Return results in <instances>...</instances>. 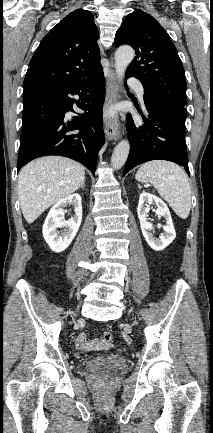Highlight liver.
Listing matches in <instances>:
<instances>
[{
  "mask_svg": "<svg viewBox=\"0 0 213 433\" xmlns=\"http://www.w3.org/2000/svg\"><path fill=\"white\" fill-rule=\"evenodd\" d=\"M84 181L85 168L66 157L46 156L28 163L18 175V196L25 220L34 222Z\"/></svg>",
  "mask_w": 213,
  "mask_h": 433,
  "instance_id": "obj_1",
  "label": "liver"
}]
</instances>
